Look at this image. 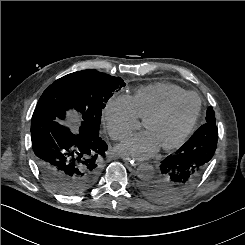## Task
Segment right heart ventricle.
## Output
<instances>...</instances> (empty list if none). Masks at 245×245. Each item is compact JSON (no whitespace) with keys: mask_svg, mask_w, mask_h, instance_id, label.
<instances>
[{"mask_svg":"<svg viewBox=\"0 0 245 245\" xmlns=\"http://www.w3.org/2000/svg\"><path fill=\"white\" fill-rule=\"evenodd\" d=\"M188 93L179 86L169 83H156L136 90L132 99L137 116L147 119L170 100Z\"/></svg>","mask_w":245,"mask_h":245,"instance_id":"e07e8e85","label":"right heart ventricle"}]
</instances>
